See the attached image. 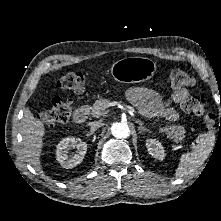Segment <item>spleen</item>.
<instances>
[{"instance_id":"spleen-1","label":"spleen","mask_w":221,"mask_h":221,"mask_svg":"<svg viewBox=\"0 0 221 221\" xmlns=\"http://www.w3.org/2000/svg\"><path fill=\"white\" fill-rule=\"evenodd\" d=\"M197 145L191 153L182 154L175 171L176 178L193 174L207 159L215 144V135L212 132L200 134L196 139Z\"/></svg>"}]
</instances>
